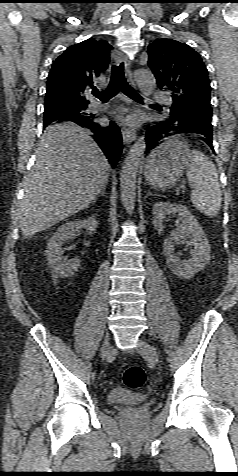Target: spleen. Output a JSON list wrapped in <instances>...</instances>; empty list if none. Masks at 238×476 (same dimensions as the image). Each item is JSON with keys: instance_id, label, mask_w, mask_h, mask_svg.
I'll use <instances>...</instances> for the list:
<instances>
[{"instance_id": "1", "label": "spleen", "mask_w": 238, "mask_h": 476, "mask_svg": "<svg viewBox=\"0 0 238 476\" xmlns=\"http://www.w3.org/2000/svg\"><path fill=\"white\" fill-rule=\"evenodd\" d=\"M186 172L188 181L194 187L191 191L193 205L205 215H218L222 193L218 173L212 160L202 152L192 150Z\"/></svg>"}]
</instances>
